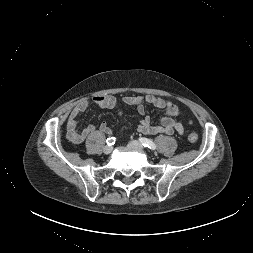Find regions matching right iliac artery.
<instances>
[{
    "instance_id": "right-iliac-artery-1",
    "label": "right iliac artery",
    "mask_w": 253,
    "mask_h": 253,
    "mask_svg": "<svg viewBox=\"0 0 253 253\" xmlns=\"http://www.w3.org/2000/svg\"><path fill=\"white\" fill-rule=\"evenodd\" d=\"M115 141H116L115 137H110L106 140L108 146L113 145Z\"/></svg>"
}]
</instances>
